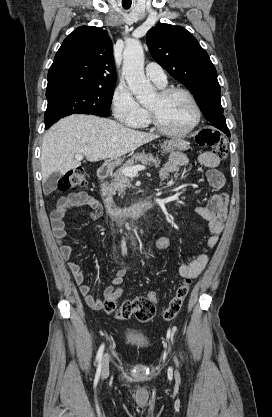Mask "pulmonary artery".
<instances>
[{"label": "pulmonary artery", "instance_id": "e3ab8cb5", "mask_svg": "<svg viewBox=\"0 0 272 417\" xmlns=\"http://www.w3.org/2000/svg\"><path fill=\"white\" fill-rule=\"evenodd\" d=\"M147 78L158 87H164L167 84V77L163 68L157 63H149L145 68Z\"/></svg>", "mask_w": 272, "mask_h": 417}]
</instances>
